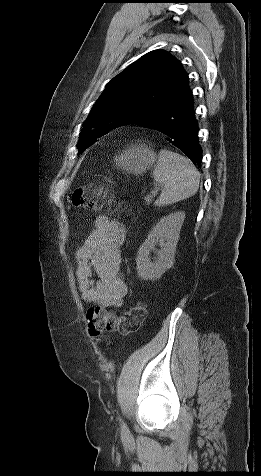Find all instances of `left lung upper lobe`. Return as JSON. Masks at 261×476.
<instances>
[{"instance_id": "5c2ea615", "label": "left lung upper lobe", "mask_w": 261, "mask_h": 476, "mask_svg": "<svg viewBox=\"0 0 261 476\" xmlns=\"http://www.w3.org/2000/svg\"><path fill=\"white\" fill-rule=\"evenodd\" d=\"M188 75L170 53L151 51L115 76L83 124L78 154L98 137L126 124L158 115L189 91Z\"/></svg>"}]
</instances>
